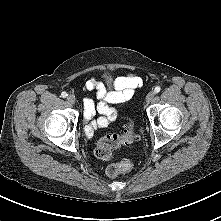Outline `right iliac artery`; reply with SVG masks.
<instances>
[{
    "label": "right iliac artery",
    "instance_id": "obj_1",
    "mask_svg": "<svg viewBox=\"0 0 221 221\" xmlns=\"http://www.w3.org/2000/svg\"><path fill=\"white\" fill-rule=\"evenodd\" d=\"M67 96H68V94L66 92L61 93V97L66 98Z\"/></svg>",
    "mask_w": 221,
    "mask_h": 221
}]
</instances>
